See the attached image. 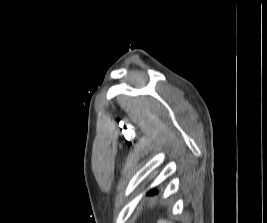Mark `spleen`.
<instances>
[{
	"instance_id": "obj_1",
	"label": "spleen",
	"mask_w": 267,
	"mask_h": 223,
	"mask_svg": "<svg viewBox=\"0 0 267 223\" xmlns=\"http://www.w3.org/2000/svg\"><path fill=\"white\" fill-rule=\"evenodd\" d=\"M157 223H170V222L160 219Z\"/></svg>"
}]
</instances>
